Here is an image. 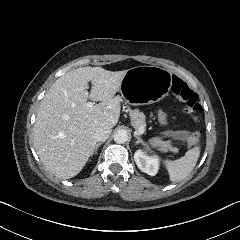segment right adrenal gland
<instances>
[{
  "instance_id": "right-adrenal-gland-1",
  "label": "right adrenal gland",
  "mask_w": 240,
  "mask_h": 240,
  "mask_svg": "<svg viewBox=\"0 0 240 240\" xmlns=\"http://www.w3.org/2000/svg\"><path fill=\"white\" fill-rule=\"evenodd\" d=\"M103 143H104V142H99V143H97V144L94 146L91 155H93L94 152H97V151H98V147L101 146V144H103Z\"/></svg>"
}]
</instances>
